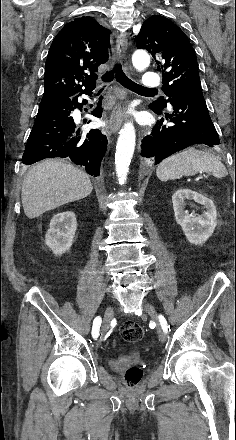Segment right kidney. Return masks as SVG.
Segmentation results:
<instances>
[{
    "mask_svg": "<svg viewBox=\"0 0 236 440\" xmlns=\"http://www.w3.org/2000/svg\"><path fill=\"white\" fill-rule=\"evenodd\" d=\"M77 229L76 216L72 211L55 214L46 232L45 244L55 255L69 251Z\"/></svg>",
    "mask_w": 236,
    "mask_h": 440,
    "instance_id": "right-kidney-1",
    "label": "right kidney"
}]
</instances>
